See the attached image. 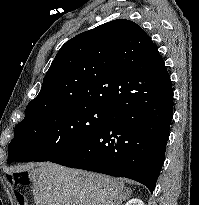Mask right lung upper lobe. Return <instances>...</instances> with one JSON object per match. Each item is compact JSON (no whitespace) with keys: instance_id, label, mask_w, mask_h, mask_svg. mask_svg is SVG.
Returning a JSON list of instances; mask_svg holds the SVG:
<instances>
[{"instance_id":"right-lung-upper-lobe-1","label":"right lung upper lobe","mask_w":199,"mask_h":205,"mask_svg":"<svg viewBox=\"0 0 199 205\" xmlns=\"http://www.w3.org/2000/svg\"><path fill=\"white\" fill-rule=\"evenodd\" d=\"M168 73L157 47L136 23L117 19L67 41L26 108L60 103L112 110L156 87Z\"/></svg>"}]
</instances>
